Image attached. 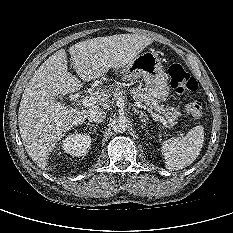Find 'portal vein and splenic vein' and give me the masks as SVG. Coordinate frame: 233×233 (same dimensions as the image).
Instances as JSON below:
<instances>
[{"mask_svg":"<svg viewBox=\"0 0 233 233\" xmlns=\"http://www.w3.org/2000/svg\"><path fill=\"white\" fill-rule=\"evenodd\" d=\"M97 101H98V97H97V96L91 95V96L85 97V98L83 99V101H82V104H83V106H85V107H90V106L95 105V104L97 103ZM135 106H136V107H139V108H141V109H144V110H146V111H148L149 113H151L152 117L155 118V120L160 121L165 127H168V126H167V123H168V122H167L162 116H160L159 114H156V113L153 112L152 110L148 109V108H147L145 105H143L141 102L136 101V102H135ZM180 135L182 136L183 134L180 133Z\"/></svg>","mask_w":233,"mask_h":233,"instance_id":"18ae733b","label":"portal vein and splenic vein"}]
</instances>
